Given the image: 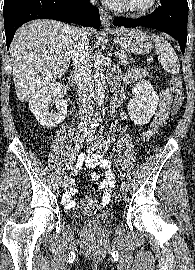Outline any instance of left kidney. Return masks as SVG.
Segmentation results:
<instances>
[{
  "label": "left kidney",
  "mask_w": 195,
  "mask_h": 270,
  "mask_svg": "<svg viewBox=\"0 0 195 270\" xmlns=\"http://www.w3.org/2000/svg\"><path fill=\"white\" fill-rule=\"evenodd\" d=\"M133 98L128 102L130 119L136 125L149 123L155 114L159 97L149 81L137 82L132 88Z\"/></svg>",
  "instance_id": "5707ae66"
}]
</instances>
